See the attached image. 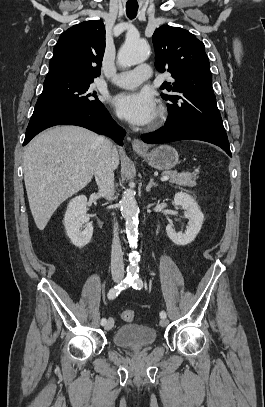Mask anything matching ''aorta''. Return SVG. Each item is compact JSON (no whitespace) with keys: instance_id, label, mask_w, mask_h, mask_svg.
<instances>
[{"instance_id":"aorta-1","label":"aorta","mask_w":265,"mask_h":407,"mask_svg":"<svg viewBox=\"0 0 265 407\" xmlns=\"http://www.w3.org/2000/svg\"><path fill=\"white\" fill-rule=\"evenodd\" d=\"M150 55V46L140 39L127 38L117 56L119 65L126 67L144 62ZM121 211L125 219V228L130 242L137 238L139 208L135 196L130 190L124 192L121 200ZM134 243H132L133 245ZM130 265L127 268L129 274H137L138 257L135 253L129 256Z\"/></svg>"}]
</instances>
